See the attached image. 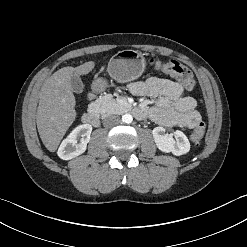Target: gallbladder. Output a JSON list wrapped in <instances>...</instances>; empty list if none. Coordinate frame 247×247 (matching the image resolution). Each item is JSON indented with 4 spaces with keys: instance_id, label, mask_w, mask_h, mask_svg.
Wrapping results in <instances>:
<instances>
[{
    "instance_id": "1",
    "label": "gallbladder",
    "mask_w": 247,
    "mask_h": 247,
    "mask_svg": "<svg viewBox=\"0 0 247 247\" xmlns=\"http://www.w3.org/2000/svg\"><path fill=\"white\" fill-rule=\"evenodd\" d=\"M71 86H72L73 92L75 93H82L84 90V84L82 80L76 75H73L71 77Z\"/></svg>"
}]
</instances>
